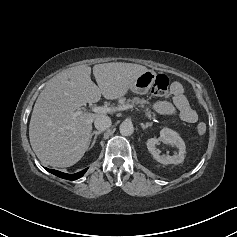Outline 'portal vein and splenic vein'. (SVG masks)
I'll return each mask as SVG.
<instances>
[{"label":"portal vein and splenic vein","instance_id":"1","mask_svg":"<svg viewBox=\"0 0 237 237\" xmlns=\"http://www.w3.org/2000/svg\"><path fill=\"white\" fill-rule=\"evenodd\" d=\"M133 108V105L130 104H126V105H122L119 107H108V106H95L92 108V111L95 113H114L116 111H121V110H128ZM84 111H76L75 113H73L72 117H77L80 114H82Z\"/></svg>","mask_w":237,"mask_h":237}]
</instances>
